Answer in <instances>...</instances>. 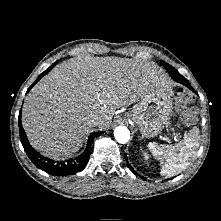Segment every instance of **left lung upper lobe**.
I'll return each mask as SVG.
<instances>
[{
	"label": "left lung upper lobe",
	"instance_id": "5c2ea615",
	"mask_svg": "<svg viewBox=\"0 0 221 221\" xmlns=\"http://www.w3.org/2000/svg\"><path fill=\"white\" fill-rule=\"evenodd\" d=\"M161 63L163 64V66L165 67V69L168 71V73L170 74V76L172 78L180 76L181 74L171 65H169L168 63H166L165 61H161Z\"/></svg>",
	"mask_w": 221,
	"mask_h": 221
}]
</instances>
